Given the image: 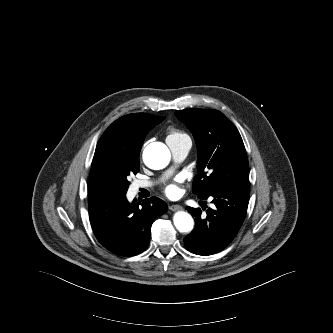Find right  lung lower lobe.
<instances>
[{
	"instance_id": "98d812e1",
	"label": "right lung lower lobe",
	"mask_w": 333,
	"mask_h": 333,
	"mask_svg": "<svg viewBox=\"0 0 333 333\" xmlns=\"http://www.w3.org/2000/svg\"><path fill=\"white\" fill-rule=\"evenodd\" d=\"M167 204L157 197L129 203L125 195L93 198L89 217L97 240L109 251L132 256L149 244L154 219L167 211Z\"/></svg>"
}]
</instances>
